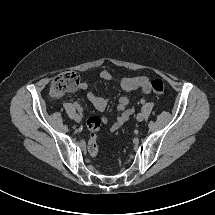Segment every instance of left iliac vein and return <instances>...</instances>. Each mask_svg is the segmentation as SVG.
<instances>
[{"instance_id": "4c4485c4", "label": "left iliac vein", "mask_w": 215, "mask_h": 215, "mask_svg": "<svg viewBox=\"0 0 215 215\" xmlns=\"http://www.w3.org/2000/svg\"><path fill=\"white\" fill-rule=\"evenodd\" d=\"M136 119H137V121H142V120L144 119L143 114L139 113V114L136 116Z\"/></svg>"}]
</instances>
